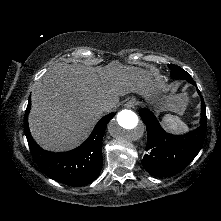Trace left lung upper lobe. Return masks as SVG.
<instances>
[{
    "label": "left lung upper lobe",
    "mask_w": 221,
    "mask_h": 221,
    "mask_svg": "<svg viewBox=\"0 0 221 221\" xmlns=\"http://www.w3.org/2000/svg\"><path fill=\"white\" fill-rule=\"evenodd\" d=\"M168 67L171 70L170 74H171L172 78L187 80V78L190 76L189 73H187L185 70H183L182 68H180L177 65L169 64Z\"/></svg>",
    "instance_id": "obj_1"
}]
</instances>
